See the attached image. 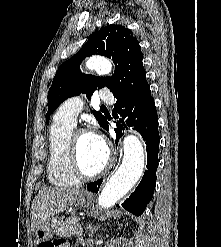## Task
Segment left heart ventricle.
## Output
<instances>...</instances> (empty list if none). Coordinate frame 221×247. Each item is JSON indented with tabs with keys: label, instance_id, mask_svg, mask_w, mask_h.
Segmentation results:
<instances>
[{
	"label": "left heart ventricle",
	"instance_id": "obj_1",
	"mask_svg": "<svg viewBox=\"0 0 221 247\" xmlns=\"http://www.w3.org/2000/svg\"><path fill=\"white\" fill-rule=\"evenodd\" d=\"M78 156L83 171L92 174L103 167L106 149L91 134H83L78 137Z\"/></svg>",
	"mask_w": 221,
	"mask_h": 247
}]
</instances>
